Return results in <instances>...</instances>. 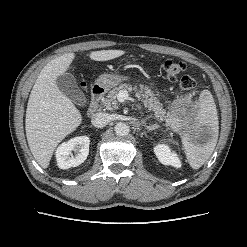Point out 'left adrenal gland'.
Listing matches in <instances>:
<instances>
[{"mask_svg":"<svg viewBox=\"0 0 247 247\" xmlns=\"http://www.w3.org/2000/svg\"><path fill=\"white\" fill-rule=\"evenodd\" d=\"M160 126L157 125V124H154V125H150L147 127V131L150 132V131H153L155 129H158Z\"/></svg>","mask_w":247,"mask_h":247,"instance_id":"1","label":"left adrenal gland"}]
</instances>
